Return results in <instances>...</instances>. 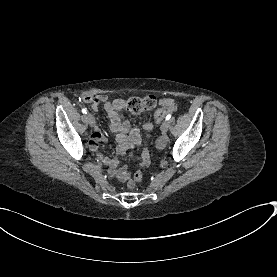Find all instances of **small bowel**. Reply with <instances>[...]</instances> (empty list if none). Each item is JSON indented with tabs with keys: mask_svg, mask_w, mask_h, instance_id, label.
Here are the masks:
<instances>
[{
	"mask_svg": "<svg viewBox=\"0 0 277 277\" xmlns=\"http://www.w3.org/2000/svg\"><path fill=\"white\" fill-rule=\"evenodd\" d=\"M90 97L91 100L99 101L104 103V109L107 113V116L110 121V128L116 135L117 140V153L122 154L126 150H131L135 146H137L140 141V132L137 128H132L130 123L124 119V115L122 114V109L124 107V101L121 99L110 100L106 98L105 95H100L96 93H91L90 96H85L84 101L90 102L87 99ZM162 108L166 115L170 114L175 109V102L170 98H165L161 100ZM92 110L98 109V104H91ZM143 129L146 132H151L153 129V125L150 122H147L143 125ZM105 136L100 131L96 130L92 135L89 146L92 150L96 148L97 141L104 140ZM98 158L103 160L104 165L110 167L114 171V175L118 181H124L128 178L129 173L125 167H121L119 165L118 160H113L110 157H104L101 152H97ZM150 163L149 160V150L148 148H144L142 152V161L140 163L141 166H148Z\"/></svg>",
	"mask_w": 277,
	"mask_h": 277,
	"instance_id": "1",
	"label": "small bowel"
}]
</instances>
